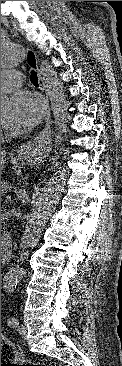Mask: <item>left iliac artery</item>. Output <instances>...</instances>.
Here are the masks:
<instances>
[{
	"label": "left iliac artery",
	"mask_w": 122,
	"mask_h": 366,
	"mask_svg": "<svg viewBox=\"0 0 122 366\" xmlns=\"http://www.w3.org/2000/svg\"><path fill=\"white\" fill-rule=\"evenodd\" d=\"M19 324V321L17 318L15 317H11L8 319V325L11 326V327H17Z\"/></svg>",
	"instance_id": "obj_1"
}]
</instances>
